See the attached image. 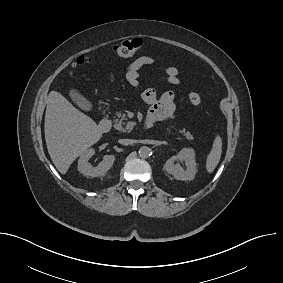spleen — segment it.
Returning <instances> with one entry per match:
<instances>
[{"instance_id":"obj_1","label":"spleen","mask_w":283,"mask_h":283,"mask_svg":"<svg viewBox=\"0 0 283 283\" xmlns=\"http://www.w3.org/2000/svg\"><path fill=\"white\" fill-rule=\"evenodd\" d=\"M222 154V139L217 135L213 141L212 148L207 156L206 170L212 173L218 165Z\"/></svg>"}]
</instances>
